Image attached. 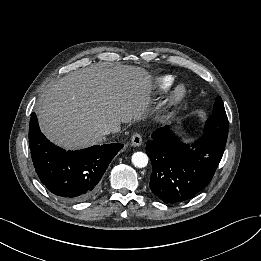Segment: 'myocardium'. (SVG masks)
I'll return each mask as SVG.
<instances>
[{"label":"myocardium","instance_id":"1","mask_svg":"<svg viewBox=\"0 0 261 261\" xmlns=\"http://www.w3.org/2000/svg\"><path fill=\"white\" fill-rule=\"evenodd\" d=\"M186 93H187L186 85L184 83L178 84L172 93L171 102L173 104H177L181 102L186 96Z\"/></svg>","mask_w":261,"mask_h":261}]
</instances>
